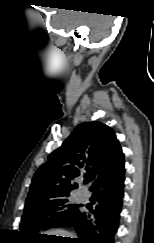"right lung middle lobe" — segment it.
Returning <instances> with one entry per match:
<instances>
[{"instance_id": "1", "label": "right lung middle lobe", "mask_w": 154, "mask_h": 243, "mask_svg": "<svg viewBox=\"0 0 154 243\" xmlns=\"http://www.w3.org/2000/svg\"><path fill=\"white\" fill-rule=\"evenodd\" d=\"M68 196L25 208L20 226L24 239L37 237L41 234L39 231L59 227L64 220L79 212L81 205L70 202Z\"/></svg>"}]
</instances>
